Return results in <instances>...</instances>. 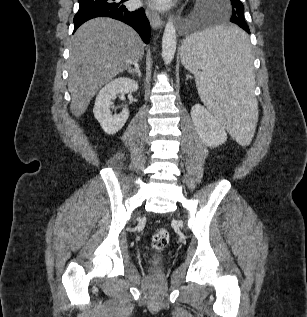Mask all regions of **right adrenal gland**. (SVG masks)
<instances>
[{"label": "right adrenal gland", "mask_w": 307, "mask_h": 317, "mask_svg": "<svg viewBox=\"0 0 307 317\" xmlns=\"http://www.w3.org/2000/svg\"><path fill=\"white\" fill-rule=\"evenodd\" d=\"M134 68L128 67V72L141 78V70L139 67V59L134 61Z\"/></svg>", "instance_id": "right-adrenal-gland-1"}]
</instances>
